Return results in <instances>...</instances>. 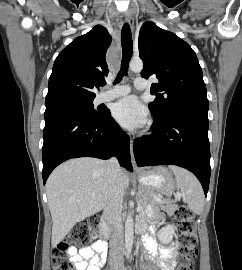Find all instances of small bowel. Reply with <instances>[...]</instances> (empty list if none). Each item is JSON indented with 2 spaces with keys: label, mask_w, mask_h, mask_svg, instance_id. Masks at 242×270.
I'll use <instances>...</instances> for the list:
<instances>
[{
  "label": "small bowel",
  "mask_w": 242,
  "mask_h": 270,
  "mask_svg": "<svg viewBox=\"0 0 242 270\" xmlns=\"http://www.w3.org/2000/svg\"><path fill=\"white\" fill-rule=\"evenodd\" d=\"M148 215L149 218L155 222L160 220V216H158L153 209L149 211ZM140 229L141 231H144V223L140 225ZM143 240L147 250L152 255H155L158 251L156 241L149 234H145ZM103 246V242L97 241L91 246L83 247L79 250L76 248H70L69 254L71 255L72 261L76 266V270H100V267L104 262V252L102 251ZM159 251L161 257L160 265L162 270H175L177 259L176 247H161Z\"/></svg>",
  "instance_id": "c3829d8e"
}]
</instances>
